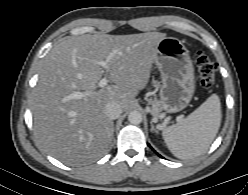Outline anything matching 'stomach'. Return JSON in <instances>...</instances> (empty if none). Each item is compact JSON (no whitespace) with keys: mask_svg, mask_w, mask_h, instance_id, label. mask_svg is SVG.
Wrapping results in <instances>:
<instances>
[{"mask_svg":"<svg viewBox=\"0 0 248 195\" xmlns=\"http://www.w3.org/2000/svg\"><path fill=\"white\" fill-rule=\"evenodd\" d=\"M155 64L161 74L160 111L175 113L186 108L195 91V74L183 43L166 37L156 48Z\"/></svg>","mask_w":248,"mask_h":195,"instance_id":"obj_1","label":"stomach"}]
</instances>
